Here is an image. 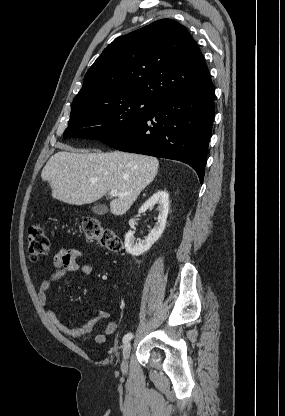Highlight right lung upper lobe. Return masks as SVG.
Masks as SVG:
<instances>
[{
    "mask_svg": "<svg viewBox=\"0 0 285 416\" xmlns=\"http://www.w3.org/2000/svg\"><path fill=\"white\" fill-rule=\"evenodd\" d=\"M209 82L203 55L186 27L162 19L108 45L86 73L71 110L125 97L159 105Z\"/></svg>",
    "mask_w": 285,
    "mask_h": 416,
    "instance_id": "1",
    "label": "right lung upper lobe"
}]
</instances>
